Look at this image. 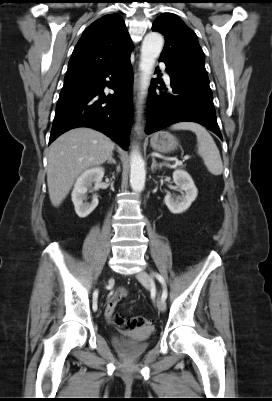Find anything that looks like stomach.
Returning a JSON list of instances; mask_svg holds the SVG:
<instances>
[{
    "mask_svg": "<svg viewBox=\"0 0 272 401\" xmlns=\"http://www.w3.org/2000/svg\"><path fill=\"white\" fill-rule=\"evenodd\" d=\"M177 138L168 131H159L151 136V147L160 153H169L178 147Z\"/></svg>",
    "mask_w": 272,
    "mask_h": 401,
    "instance_id": "1",
    "label": "stomach"
}]
</instances>
